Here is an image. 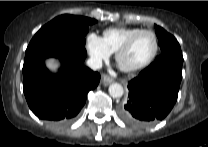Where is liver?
Segmentation results:
<instances>
[{
    "instance_id": "6515ba94",
    "label": "liver",
    "mask_w": 208,
    "mask_h": 147,
    "mask_svg": "<svg viewBox=\"0 0 208 147\" xmlns=\"http://www.w3.org/2000/svg\"><path fill=\"white\" fill-rule=\"evenodd\" d=\"M47 68H49L51 71H57L60 67V62L58 59L55 58H49L45 61Z\"/></svg>"
}]
</instances>
